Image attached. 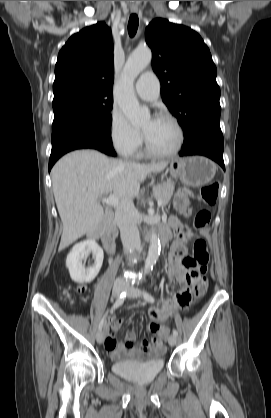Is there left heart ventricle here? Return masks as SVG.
Listing matches in <instances>:
<instances>
[{"instance_id": "left-heart-ventricle-1", "label": "left heart ventricle", "mask_w": 271, "mask_h": 418, "mask_svg": "<svg viewBox=\"0 0 271 418\" xmlns=\"http://www.w3.org/2000/svg\"><path fill=\"white\" fill-rule=\"evenodd\" d=\"M151 147L158 152L172 150L178 140L175 126L164 118H148L141 125Z\"/></svg>"}]
</instances>
